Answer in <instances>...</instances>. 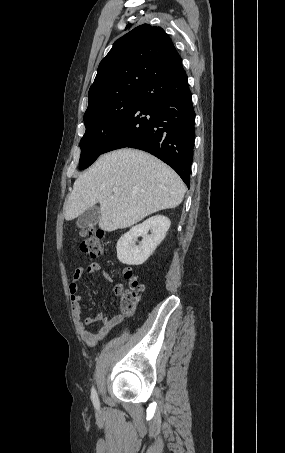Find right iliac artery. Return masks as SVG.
Listing matches in <instances>:
<instances>
[{
  "mask_svg": "<svg viewBox=\"0 0 285 453\" xmlns=\"http://www.w3.org/2000/svg\"><path fill=\"white\" fill-rule=\"evenodd\" d=\"M91 400L94 404V407L98 410L100 403H99L97 392L94 387H92V390H91Z\"/></svg>",
  "mask_w": 285,
  "mask_h": 453,
  "instance_id": "obj_1",
  "label": "right iliac artery"
}]
</instances>
